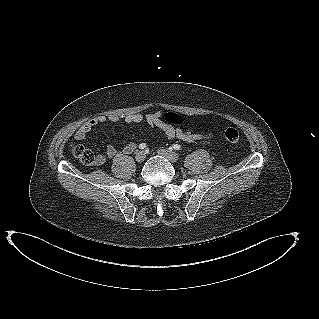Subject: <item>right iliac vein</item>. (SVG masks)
Here are the masks:
<instances>
[{
    "instance_id": "right-iliac-vein-1",
    "label": "right iliac vein",
    "mask_w": 319,
    "mask_h": 319,
    "mask_svg": "<svg viewBox=\"0 0 319 319\" xmlns=\"http://www.w3.org/2000/svg\"><path fill=\"white\" fill-rule=\"evenodd\" d=\"M145 158H146V154L144 151H139L135 155V159L139 163L143 162L145 160Z\"/></svg>"
}]
</instances>
